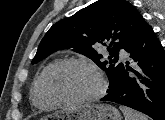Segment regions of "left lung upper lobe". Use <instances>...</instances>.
I'll return each mask as SVG.
<instances>
[{"label": "left lung upper lobe", "mask_w": 165, "mask_h": 120, "mask_svg": "<svg viewBox=\"0 0 165 120\" xmlns=\"http://www.w3.org/2000/svg\"><path fill=\"white\" fill-rule=\"evenodd\" d=\"M142 15L124 0H98L73 16L55 23L42 39L32 63L53 52L72 48L92 59L109 78V92L118 86L122 63L119 49H125L144 24ZM105 46L110 61H101L97 48Z\"/></svg>", "instance_id": "obj_1"}]
</instances>
